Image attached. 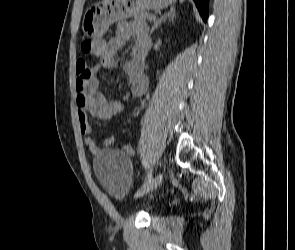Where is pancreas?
<instances>
[{"instance_id":"1","label":"pancreas","mask_w":295,"mask_h":250,"mask_svg":"<svg viewBox=\"0 0 295 250\" xmlns=\"http://www.w3.org/2000/svg\"><path fill=\"white\" fill-rule=\"evenodd\" d=\"M150 16L152 15L147 12H141L134 16V21L132 22V24L134 25L146 24V21Z\"/></svg>"}]
</instances>
